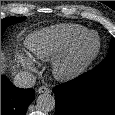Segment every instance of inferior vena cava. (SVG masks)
<instances>
[{
	"label": "inferior vena cava",
	"instance_id": "obj_1",
	"mask_svg": "<svg viewBox=\"0 0 115 115\" xmlns=\"http://www.w3.org/2000/svg\"><path fill=\"white\" fill-rule=\"evenodd\" d=\"M35 81V76L27 71H20L14 77V85L19 88H31Z\"/></svg>",
	"mask_w": 115,
	"mask_h": 115
}]
</instances>
